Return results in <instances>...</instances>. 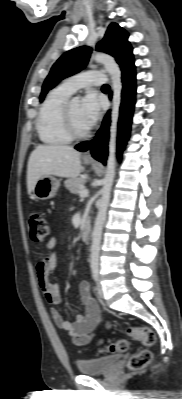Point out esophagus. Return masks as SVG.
I'll return each instance as SVG.
<instances>
[{
  "label": "esophagus",
  "instance_id": "1",
  "mask_svg": "<svg viewBox=\"0 0 182 399\" xmlns=\"http://www.w3.org/2000/svg\"><path fill=\"white\" fill-rule=\"evenodd\" d=\"M91 158H92V156H91L90 150L86 151L84 154V159H91Z\"/></svg>",
  "mask_w": 182,
  "mask_h": 399
}]
</instances>
